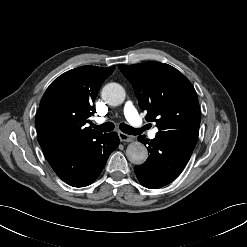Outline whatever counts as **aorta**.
<instances>
[{
    "label": "aorta",
    "instance_id": "aorta-1",
    "mask_svg": "<svg viewBox=\"0 0 247 247\" xmlns=\"http://www.w3.org/2000/svg\"><path fill=\"white\" fill-rule=\"evenodd\" d=\"M125 96L124 88L118 83H108L101 91L102 99L111 106L122 104L125 100ZM126 156L131 163L141 165L146 161L148 151L142 143L135 141L127 146Z\"/></svg>",
    "mask_w": 247,
    "mask_h": 247
}]
</instances>
